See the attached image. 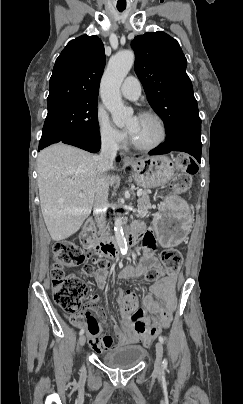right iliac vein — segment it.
Returning a JSON list of instances; mask_svg holds the SVG:
<instances>
[{
    "instance_id": "63e3f726",
    "label": "right iliac vein",
    "mask_w": 243,
    "mask_h": 404,
    "mask_svg": "<svg viewBox=\"0 0 243 404\" xmlns=\"http://www.w3.org/2000/svg\"><path fill=\"white\" fill-rule=\"evenodd\" d=\"M85 341H86L85 336H84V335H81L80 338H79V345H80L81 347H83L84 344H85Z\"/></svg>"
}]
</instances>
